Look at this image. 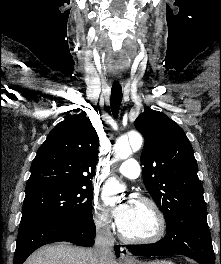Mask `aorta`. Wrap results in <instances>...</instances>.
<instances>
[{"label":"aorta","instance_id":"1","mask_svg":"<svg viewBox=\"0 0 221 264\" xmlns=\"http://www.w3.org/2000/svg\"><path fill=\"white\" fill-rule=\"evenodd\" d=\"M143 143V138L138 133H133L127 138H121L117 141L115 146V160L127 159L132 151H137L141 148ZM123 190V185H121L115 178H109L103 187V194L105 196L115 195Z\"/></svg>","mask_w":221,"mask_h":264}]
</instances>
